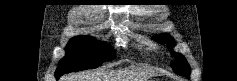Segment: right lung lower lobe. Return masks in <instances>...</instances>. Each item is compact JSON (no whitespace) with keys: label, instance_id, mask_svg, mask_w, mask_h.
<instances>
[{"label":"right lung lower lobe","instance_id":"98d812e1","mask_svg":"<svg viewBox=\"0 0 237 81\" xmlns=\"http://www.w3.org/2000/svg\"><path fill=\"white\" fill-rule=\"evenodd\" d=\"M60 76H56L57 79H59Z\"/></svg>","mask_w":237,"mask_h":81}]
</instances>
